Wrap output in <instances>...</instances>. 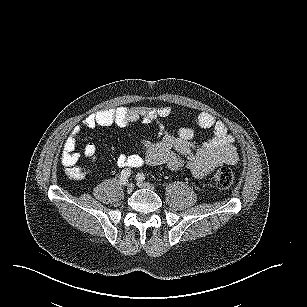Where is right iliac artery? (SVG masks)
<instances>
[{
	"instance_id": "right-iliac-artery-1",
	"label": "right iliac artery",
	"mask_w": 307,
	"mask_h": 307,
	"mask_svg": "<svg viewBox=\"0 0 307 307\" xmlns=\"http://www.w3.org/2000/svg\"><path fill=\"white\" fill-rule=\"evenodd\" d=\"M130 174H131V170H128V169L122 170L120 174V184L121 185H126Z\"/></svg>"
}]
</instances>
